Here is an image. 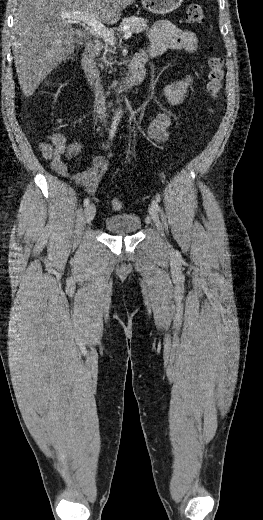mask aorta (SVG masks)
Instances as JSON below:
<instances>
[{"label":"aorta","instance_id":"aorta-1","mask_svg":"<svg viewBox=\"0 0 263 520\" xmlns=\"http://www.w3.org/2000/svg\"><path fill=\"white\" fill-rule=\"evenodd\" d=\"M121 112L122 111L119 109V111L117 112L116 118H120Z\"/></svg>","mask_w":263,"mask_h":520}]
</instances>
